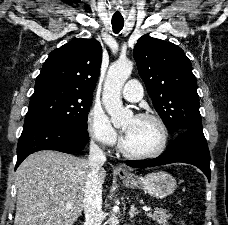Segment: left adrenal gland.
<instances>
[{
    "instance_id": "1",
    "label": "left adrenal gland",
    "mask_w": 228,
    "mask_h": 225,
    "mask_svg": "<svg viewBox=\"0 0 228 225\" xmlns=\"http://www.w3.org/2000/svg\"><path fill=\"white\" fill-rule=\"evenodd\" d=\"M130 219H133V217H136V215H139V211L135 209V205H130V211H129Z\"/></svg>"
}]
</instances>
